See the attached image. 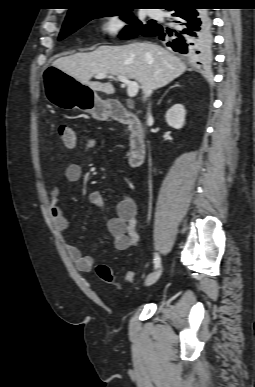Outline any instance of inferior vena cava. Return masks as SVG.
Instances as JSON below:
<instances>
[{"label":"inferior vena cava","instance_id":"602c4592","mask_svg":"<svg viewBox=\"0 0 255 387\" xmlns=\"http://www.w3.org/2000/svg\"><path fill=\"white\" fill-rule=\"evenodd\" d=\"M148 117L151 118V114L148 112Z\"/></svg>","mask_w":255,"mask_h":387}]
</instances>
